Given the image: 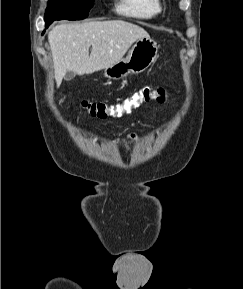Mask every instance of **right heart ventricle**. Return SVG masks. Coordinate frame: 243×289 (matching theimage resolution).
Masks as SVG:
<instances>
[{
  "instance_id": "e07e8e85",
  "label": "right heart ventricle",
  "mask_w": 243,
  "mask_h": 289,
  "mask_svg": "<svg viewBox=\"0 0 243 289\" xmlns=\"http://www.w3.org/2000/svg\"><path fill=\"white\" fill-rule=\"evenodd\" d=\"M115 11L122 16L148 20L161 11L159 0H116Z\"/></svg>"
}]
</instances>
